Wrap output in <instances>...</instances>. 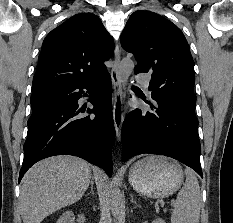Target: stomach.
I'll return each mask as SVG.
<instances>
[{"label": "stomach", "instance_id": "0dacf381", "mask_svg": "<svg viewBox=\"0 0 233 223\" xmlns=\"http://www.w3.org/2000/svg\"><path fill=\"white\" fill-rule=\"evenodd\" d=\"M129 183L147 197H168L181 187L184 179L180 163L164 155H146L129 169Z\"/></svg>", "mask_w": 233, "mask_h": 223}]
</instances>
